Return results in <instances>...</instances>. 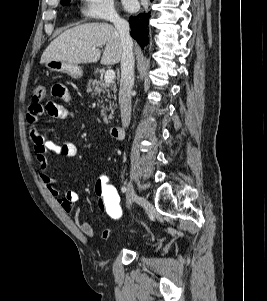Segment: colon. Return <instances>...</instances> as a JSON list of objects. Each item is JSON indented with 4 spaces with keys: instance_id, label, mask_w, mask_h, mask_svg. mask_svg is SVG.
<instances>
[{
    "instance_id": "1",
    "label": "colon",
    "mask_w": 267,
    "mask_h": 301,
    "mask_svg": "<svg viewBox=\"0 0 267 301\" xmlns=\"http://www.w3.org/2000/svg\"><path fill=\"white\" fill-rule=\"evenodd\" d=\"M45 95V87L43 85H37L33 91V102L41 101ZM94 193L102 212L112 220L122 218L123 207L120 195L107 177L101 176L96 180Z\"/></svg>"
}]
</instances>
